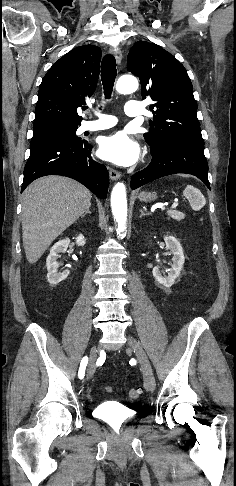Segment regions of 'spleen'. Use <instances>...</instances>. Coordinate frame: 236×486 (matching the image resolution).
Listing matches in <instances>:
<instances>
[{
  "instance_id": "spleen-1",
  "label": "spleen",
  "mask_w": 236,
  "mask_h": 486,
  "mask_svg": "<svg viewBox=\"0 0 236 486\" xmlns=\"http://www.w3.org/2000/svg\"><path fill=\"white\" fill-rule=\"evenodd\" d=\"M183 195L189 200L193 210L198 211L206 204V200L201 191L192 185H187Z\"/></svg>"
}]
</instances>
